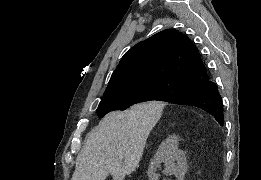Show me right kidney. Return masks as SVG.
<instances>
[{
	"label": "right kidney",
	"mask_w": 261,
	"mask_h": 180,
	"mask_svg": "<svg viewBox=\"0 0 261 180\" xmlns=\"http://www.w3.org/2000/svg\"><path fill=\"white\" fill-rule=\"evenodd\" d=\"M179 142L177 136H169L165 142H161L157 154H155L152 164L148 170V176L150 180H158V174H156V168H158L161 162H165L166 170H170L172 174H175L178 180H184V176L188 170L186 158L184 152L178 148ZM177 162L175 166L174 162Z\"/></svg>",
	"instance_id": "1"
}]
</instances>
